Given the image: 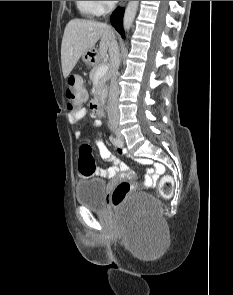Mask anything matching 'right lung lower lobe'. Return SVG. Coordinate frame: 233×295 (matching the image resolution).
Returning <instances> with one entry per match:
<instances>
[{
  "label": "right lung lower lobe",
  "instance_id": "1",
  "mask_svg": "<svg viewBox=\"0 0 233 295\" xmlns=\"http://www.w3.org/2000/svg\"><path fill=\"white\" fill-rule=\"evenodd\" d=\"M123 14H124V10L121 8H117L111 16L112 25L122 35V37H124Z\"/></svg>",
  "mask_w": 233,
  "mask_h": 295
}]
</instances>
